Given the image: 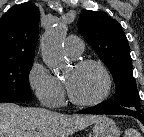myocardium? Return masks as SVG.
<instances>
[{"mask_svg":"<svg viewBox=\"0 0 144 137\" xmlns=\"http://www.w3.org/2000/svg\"><path fill=\"white\" fill-rule=\"evenodd\" d=\"M74 66L76 68L93 66V67H96L97 69H99L105 79V88H104L102 94L98 98H96L94 100H90V101H81V100L76 99L72 95L67 84L65 83L69 101L72 104H74L76 106H80V107H94V106H97V105L103 103L108 98V96L110 95V92L112 90V77H111V74H110L108 68L102 62H100L98 60H94V59L79 60L75 63Z\"/></svg>","mask_w":144,"mask_h":137,"instance_id":"myocardium-1","label":"myocardium"}]
</instances>
